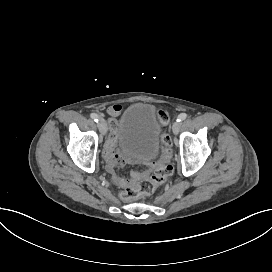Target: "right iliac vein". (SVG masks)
Returning a JSON list of instances; mask_svg holds the SVG:
<instances>
[{"mask_svg": "<svg viewBox=\"0 0 272 272\" xmlns=\"http://www.w3.org/2000/svg\"><path fill=\"white\" fill-rule=\"evenodd\" d=\"M98 127L102 135H105L107 132V125L103 119L98 120Z\"/></svg>", "mask_w": 272, "mask_h": 272, "instance_id": "63e3f726", "label": "right iliac vein"}]
</instances>
